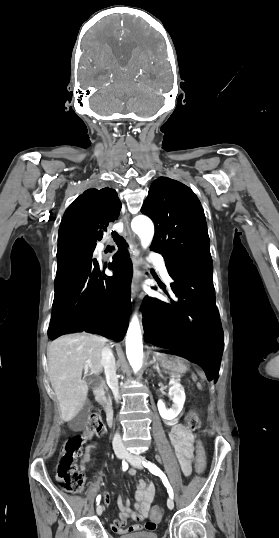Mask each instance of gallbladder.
Instances as JSON below:
<instances>
[{
	"label": "gallbladder",
	"instance_id": "obj_1",
	"mask_svg": "<svg viewBox=\"0 0 279 538\" xmlns=\"http://www.w3.org/2000/svg\"><path fill=\"white\" fill-rule=\"evenodd\" d=\"M87 380H88L89 385L91 387H100L102 385V378L100 376H88ZM86 407L81 408L80 411H79L78 417H74L72 419V426L75 429L83 428V427L86 426L87 420H88L89 414H90V411H89L88 408L93 407V402L92 401H87L86 402Z\"/></svg>",
	"mask_w": 279,
	"mask_h": 538
}]
</instances>
